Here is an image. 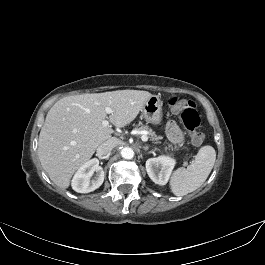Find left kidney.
<instances>
[{"mask_svg": "<svg viewBox=\"0 0 265 265\" xmlns=\"http://www.w3.org/2000/svg\"><path fill=\"white\" fill-rule=\"evenodd\" d=\"M174 166L175 160L169 156H159L146 161L147 174L158 185L167 184Z\"/></svg>", "mask_w": 265, "mask_h": 265, "instance_id": "left-kidney-1", "label": "left kidney"}]
</instances>
